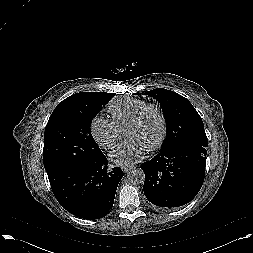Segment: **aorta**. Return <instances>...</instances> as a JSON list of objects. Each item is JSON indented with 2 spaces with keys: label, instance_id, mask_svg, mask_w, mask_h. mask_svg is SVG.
Wrapping results in <instances>:
<instances>
[{
  "label": "aorta",
  "instance_id": "aorta-1",
  "mask_svg": "<svg viewBox=\"0 0 253 253\" xmlns=\"http://www.w3.org/2000/svg\"><path fill=\"white\" fill-rule=\"evenodd\" d=\"M145 174L144 171L140 168L133 169L128 173V180L131 183L139 184L144 182Z\"/></svg>",
  "mask_w": 253,
  "mask_h": 253
}]
</instances>
